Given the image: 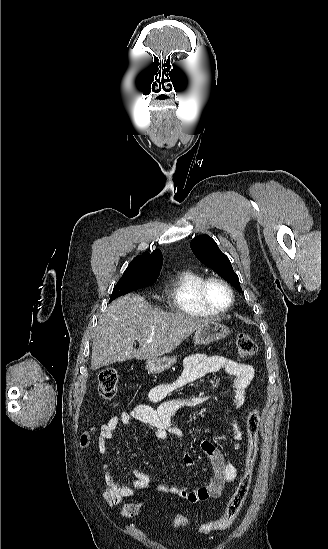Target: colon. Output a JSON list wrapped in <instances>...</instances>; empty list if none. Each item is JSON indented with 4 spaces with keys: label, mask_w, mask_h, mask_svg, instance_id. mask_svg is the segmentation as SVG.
<instances>
[{
    "label": "colon",
    "mask_w": 328,
    "mask_h": 549,
    "mask_svg": "<svg viewBox=\"0 0 328 549\" xmlns=\"http://www.w3.org/2000/svg\"><path fill=\"white\" fill-rule=\"evenodd\" d=\"M235 346L238 355L242 358L251 357L257 351L256 343L246 334L237 336ZM118 386L119 376L114 369H105L99 374L98 390L103 398L108 400L114 398L118 391ZM259 421L260 411L258 408H255L250 412L246 421L247 452L243 474L234 493L229 498L223 514L217 519L197 524L196 529L199 533L207 534L215 530L226 529L233 523L242 510L249 494L254 467L258 457ZM89 443L90 435L88 433L83 434L81 437V445L86 447ZM143 507L144 502L142 500H134L123 505L121 514L124 518H131L136 516ZM173 525L177 528H185L190 526V521L185 516L177 514L174 516Z\"/></svg>",
    "instance_id": "5ec220e1"
}]
</instances>
